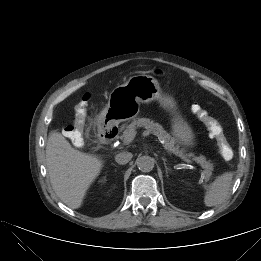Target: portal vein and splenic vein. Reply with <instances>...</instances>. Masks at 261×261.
Returning a JSON list of instances; mask_svg holds the SVG:
<instances>
[{"mask_svg":"<svg viewBox=\"0 0 261 261\" xmlns=\"http://www.w3.org/2000/svg\"><path fill=\"white\" fill-rule=\"evenodd\" d=\"M136 134L137 132L135 130H132V131H128L125 136H124V144H129L130 142L133 141V139L136 137ZM181 160H183L184 162L186 163H189V164H193L195 165V162L191 159H188L182 155H177Z\"/></svg>","mask_w":261,"mask_h":261,"instance_id":"18ae733b","label":"portal vein and splenic vein"}]
</instances>
